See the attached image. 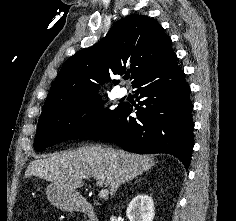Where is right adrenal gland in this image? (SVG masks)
Segmentation results:
<instances>
[{
  "mask_svg": "<svg viewBox=\"0 0 236 221\" xmlns=\"http://www.w3.org/2000/svg\"><path fill=\"white\" fill-rule=\"evenodd\" d=\"M139 181H141V178H140L139 180L135 181L134 184H136V183L139 182Z\"/></svg>",
  "mask_w": 236,
  "mask_h": 221,
  "instance_id": "2a0ac1e0",
  "label": "right adrenal gland"
}]
</instances>
